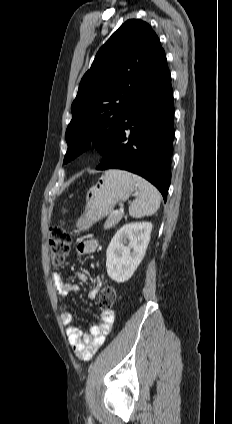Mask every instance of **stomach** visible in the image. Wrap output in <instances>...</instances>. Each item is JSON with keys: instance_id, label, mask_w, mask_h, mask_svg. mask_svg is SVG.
<instances>
[{"instance_id": "1", "label": "stomach", "mask_w": 232, "mask_h": 424, "mask_svg": "<svg viewBox=\"0 0 232 424\" xmlns=\"http://www.w3.org/2000/svg\"><path fill=\"white\" fill-rule=\"evenodd\" d=\"M136 186L131 173L124 170H108L90 188L86 209L77 221L79 230L89 229L95 222L106 217L117 203L126 201Z\"/></svg>"}]
</instances>
